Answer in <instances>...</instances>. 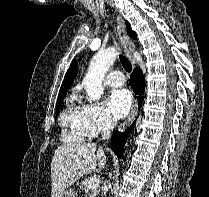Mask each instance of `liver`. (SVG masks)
Masks as SVG:
<instances>
[{"mask_svg": "<svg viewBox=\"0 0 209 197\" xmlns=\"http://www.w3.org/2000/svg\"><path fill=\"white\" fill-rule=\"evenodd\" d=\"M95 152H97L95 154ZM106 155L96 143H70L59 146L51 162V196L58 197L82 176L104 168Z\"/></svg>", "mask_w": 209, "mask_h": 197, "instance_id": "liver-1", "label": "liver"}]
</instances>
